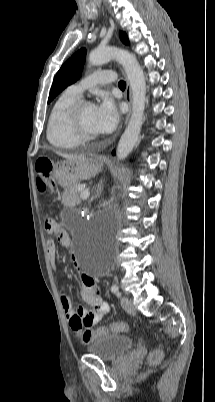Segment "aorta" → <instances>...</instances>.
I'll list each match as a JSON object with an SVG mask.
<instances>
[{
    "instance_id": "762f6f07",
    "label": "aorta",
    "mask_w": 215,
    "mask_h": 402,
    "mask_svg": "<svg viewBox=\"0 0 215 402\" xmlns=\"http://www.w3.org/2000/svg\"><path fill=\"white\" fill-rule=\"evenodd\" d=\"M111 60H116L124 68L132 92V114L116 150L117 158L122 160L133 150L139 137L145 109L146 81L136 57L126 50L106 47L96 49L89 55L91 65H101Z\"/></svg>"
}]
</instances>
